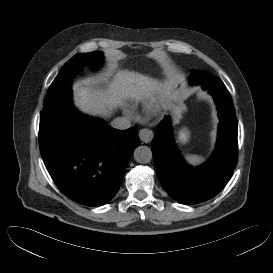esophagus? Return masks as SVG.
Listing matches in <instances>:
<instances>
[{"label":"esophagus","instance_id":"34e87169","mask_svg":"<svg viewBox=\"0 0 273 273\" xmlns=\"http://www.w3.org/2000/svg\"><path fill=\"white\" fill-rule=\"evenodd\" d=\"M153 136H154L153 132L149 129H141L139 131V138L144 143H150Z\"/></svg>","mask_w":273,"mask_h":273}]
</instances>
